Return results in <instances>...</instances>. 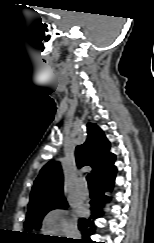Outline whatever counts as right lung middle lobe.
Instances as JSON below:
<instances>
[{"label": "right lung middle lobe", "instance_id": "1", "mask_svg": "<svg viewBox=\"0 0 154 243\" xmlns=\"http://www.w3.org/2000/svg\"><path fill=\"white\" fill-rule=\"evenodd\" d=\"M67 206V202L65 198H61L58 200H54L33 208H28L26 221L24 223V227L27 231H31L32 229H40L41 221L43 217L50 211L56 208H63ZM28 234V233H27ZM30 238H42V234L35 235L34 233L28 234Z\"/></svg>", "mask_w": 154, "mask_h": 243}]
</instances>
